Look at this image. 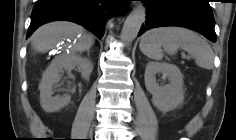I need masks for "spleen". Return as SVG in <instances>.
Returning <instances> with one entry per match:
<instances>
[{"label":"spleen","mask_w":236,"mask_h":140,"mask_svg":"<svg viewBox=\"0 0 236 140\" xmlns=\"http://www.w3.org/2000/svg\"><path fill=\"white\" fill-rule=\"evenodd\" d=\"M175 54L178 49L187 51L195 63L204 69H212L214 53L205 39L195 32L182 27H160L146 32L140 42V50L148 58L161 60L163 49Z\"/></svg>","instance_id":"spleen-1"}]
</instances>
